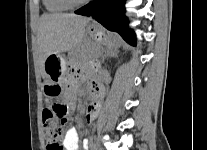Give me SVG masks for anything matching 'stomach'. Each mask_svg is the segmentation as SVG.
Here are the masks:
<instances>
[{
  "label": "stomach",
  "instance_id": "0dacf381",
  "mask_svg": "<svg viewBox=\"0 0 207 150\" xmlns=\"http://www.w3.org/2000/svg\"><path fill=\"white\" fill-rule=\"evenodd\" d=\"M89 36L88 41L94 44L107 43L102 30L96 24H91L86 29ZM110 44V42H108ZM118 40H114L112 45L117 46ZM86 46H88L86 44ZM95 47V46H92ZM67 62L60 54H52L47 57L44 64L43 91L49 97H63L71 91L70 84L63 81L66 72Z\"/></svg>",
  "mask_w": 207,
  "mask_h": 150
}]
</instances>
